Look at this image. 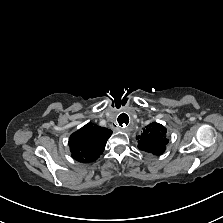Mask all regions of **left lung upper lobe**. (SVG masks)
Listing matches in <instances>:
<instances>
[{"instance_id": "5c2ea615", "label": "left lung upper lobe", "mask_w": 223, "mask_h": 223, "mask_svg": "<svg viewBox=\"0 0 223 223\" xmlns=\"http://www.w3.org/2000/svg\"><path fill=\"white\" fill-rule=\"evenodd\" d=\"M138 148L154 155H161L165 149L168 139L166 138V128L158 123H151L137 137Z\"/></svg>"}]
</instances>
